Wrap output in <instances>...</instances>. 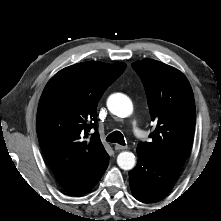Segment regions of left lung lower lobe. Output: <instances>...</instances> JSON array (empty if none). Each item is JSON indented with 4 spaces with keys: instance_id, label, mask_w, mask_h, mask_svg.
I'll list each match as a JSON object with an SVG mask.
<instances>
[{
    "instance_id": "obj_1",
    "label": "left lung lower lobe",
    "mask_w": 221,
    "mask_h": 221,
    "mask_svg": "<svg viewBox=\"0 0 221 221\" xmlns=\"http://www.w3.org/2000/svg\"><path fill=\"white\" fill-rule=\"evenodd\" d=\"M138 163L129 171L133 196L144 203L157 202L173 188L179 169L137 150Z\"/></svg>"
}]
</instances>
